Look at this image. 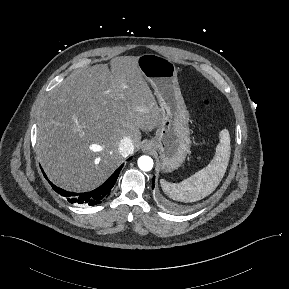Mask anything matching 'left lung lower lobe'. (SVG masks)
I'll use <instances>...</instances> for the list:
<instances>
[{
  "label": "left lung lower lobe",
  "mask_w": 289,
  "mask_h": 289,
  "mask_svg": "<svg viewBox=\"0 0 289 289\" xmlns=\"http://www.w3.org/2000/svg\"><path fill=\"white\" fill-rule=\"evenodd\" d=\"M154 181H155V177H153L152 189H154Z\"/></svg>",
  "instance_id": "left-lung-lower-lobe-1"
}]
</instances>
